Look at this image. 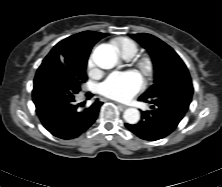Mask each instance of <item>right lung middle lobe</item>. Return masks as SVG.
<instances>
[{"instance_id":"obj_1","label":"right lung middle lobe","mask_w":222,"mask_h":187,"mask_svg":"<svg viewBox=\"0 0 222 187\" xmlns=\"http://www.w3.org/2000/svg\"><path fill=\"white\" fill-rule=\"evenodd\" d=\"M59 61L61 62L73 75V77L77 80V82L84 83L86 81V66H87V59L85 58H78L75 56L70 57H63V56H55L51 59H44L41 67L48 65L51 62Z\"/></svg>"}]
</instances>
